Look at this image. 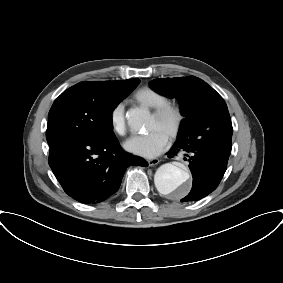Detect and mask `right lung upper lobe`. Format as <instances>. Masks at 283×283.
<instances>
[{"label":"right lung upper lobe","instance_id":"obj_1","mask_svg":"<svg viewBox=\"0 0 283 283\" xmlns=\"http://www.w3.org/2000/svg\"><path fill=\"white\" fill-rule=\"evenodd\" d=\"M135 79L124 80V81H93V82H82L86 85L92 86L96 90L103 89H114L124 87L132 83Z\"/></svg>","mask_w":283,"mask_h":283}]
</instances>
